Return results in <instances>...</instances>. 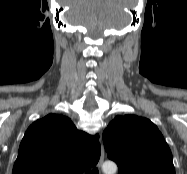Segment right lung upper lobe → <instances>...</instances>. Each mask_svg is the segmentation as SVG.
Wrapping results in <instances>:
<instances>
[{"label":"right lung upper lobe","instance_id":"obj_1","mask_svg":"<svg viewBox=\"0 0 187 174\" xmlns=\"http://www.w3.org/2000/svg\"><path fill=\"white\" fill-rule=\"evenodd\" d=\"M99 157L98 135L77 130L68 117L49 114L27 129L12 174H83Z\"/></svg>","mask_w":187,"mask_h":174}]
</instances>
